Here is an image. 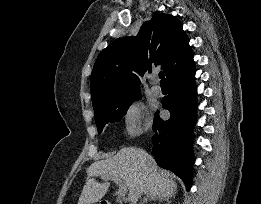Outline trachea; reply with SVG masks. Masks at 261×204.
Listing matches in <instances>:
<instances>
[{"label":"trachea","instance_id":"3493384b","mask_svg":"<svg viewBox=\"0 0 261 204\" xmlns=\"http://www.w3.org/2000/svg\"><path fill=\"white\" fill-rule=\"evenodd\" d=\"M159 78L161 79V84H166V79L164 78V73L162 71L159 72Z\"/></svg>","mask_w":261,"mask_h":204}]
</instances>
